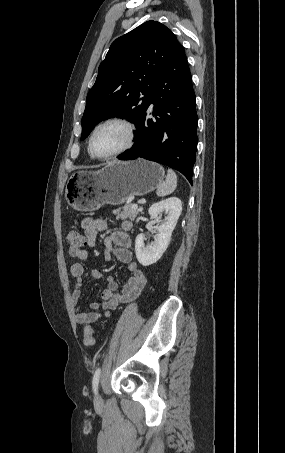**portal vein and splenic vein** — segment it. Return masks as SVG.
Returning <instances> with one entry per match:
<instances>
[{
  "mask_svg": "<svg viewBox=\"0 0 285 453\" xmlns=\"http://www.w3.org/2000/svg\"><path fill=\"white\" fill-rule=\"evenodd\" d=\"M132 207L133 208H138V205L137 204H133Z\"/></svg>",
  "mask_w": 285,
  "mask_h": 453,
  "instance_id": "1",
  "label": "portal vein and splenic vein"
}]
</instances>
